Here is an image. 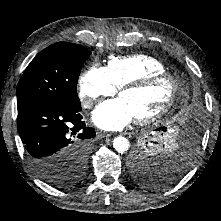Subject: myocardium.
Wrapping results in <instances>:
<instances>
[{
  "label": "myocardium",
  "mask_w": 221,
  "mask_h": 221,
  "mask_svg": "<svg viewBox=\"0 0 221 221\" xmlns=\"http://www.w3.org/2000/svg\"><path fill=\"white\" fill-rule=\"evenodd\" d=\"M162 79L170 80L173 85V91H172L169 101L158 112L150 116H145V117L135 119V122L137 124L139 125L153 124L159 121L160 119H162L163 117H165L169 113V111L173 108V106L175 105L177 101L180 88H181V82L176 76H174L173 74L169 72H160V73L148 74L140 79L128 82L119 88L118 94L120 95L124 91H135V90L144 89L148 87L149 85L153 84L154 82L162 80Z\"/></svg>",
  "instance_id": "1"
}]
</instances>
